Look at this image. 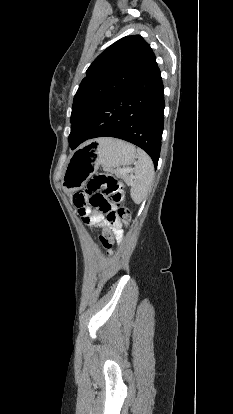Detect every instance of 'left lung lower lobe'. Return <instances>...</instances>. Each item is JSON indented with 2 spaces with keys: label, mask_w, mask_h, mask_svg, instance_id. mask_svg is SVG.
Here are the masks:
<instances>
[{
  "label": "left lung lower lobe",
  "mask_w": 233,
  "mask_h": 414,
  "mask_svg": "<svg viewBox=\"0 0 233 414\" xmlns=\"http://www.w3.org/2000/svg\"><path fill=\"white\" fill-rule=\"evenodd\" d=\"M164 87L155 63L142 77L115 96L103 101L76 122L69 135L75 149L86 140L115 137L146 151L155 168L161 149Z\"/></svg>",
  "instance_id": "0a47b994"
}]
</instances>
